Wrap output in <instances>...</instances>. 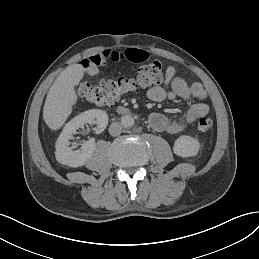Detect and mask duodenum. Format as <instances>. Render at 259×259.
<instances>
[{
	"label": "duodenum",
	"instance_id": "duodenum-1",
	"mask_svg": "<svg viewBox=\"0 0 259 259\" xmlns=\"http://www.w3.org/2000/svg\"><path fill=\"white\" fill-rule=\"evenodd\" d=\"M117 112L121 115H127L130 113V111L127 108L122 106L118 107Z\"/></svg>",
	"mask_w": 259,
	"mask_h": 259
}]
</instances>
